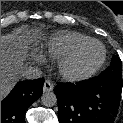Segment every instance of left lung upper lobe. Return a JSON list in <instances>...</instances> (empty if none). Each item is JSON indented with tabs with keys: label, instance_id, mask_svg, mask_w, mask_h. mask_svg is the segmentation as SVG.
Segmentation results:
<instances>
[{
	"label": "left lung upper lobe",
	"instance_id": "1",
	"mask_svg": "<svg viewBox=\"0 0 123 123\" xmlns=\"http://www.w3.org/2000/svg\"><path fill=\"white\" fill-rule=\"evenodd\" d=\"M99 76L119 82L122 81L121 60L118 58V56H113L110 66Z\"/></svg>",
	"mask_w": 123,
	"mask_h": 123
}]
</instances>
